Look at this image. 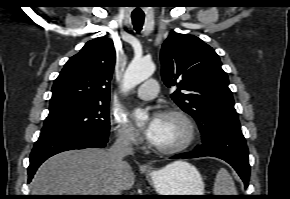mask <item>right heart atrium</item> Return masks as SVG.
<instances>
[{"mask_svg": "<svg viewBox=\"0 0 290 199\" xmlns=\"http://www.w3.org/2000/svg\"><path fill=\"white\" fill-rule=\"evenodd\" d=\"M113 131L117 140L127 146L136 147L141 143V138L127 119L118 114H114L111 119Z\"/></svg>", "mask_w": 290, "mask_h": 199, "instance_id": "right-heart-atrium-1", "label": "right heart atrium"}]
</instances>
